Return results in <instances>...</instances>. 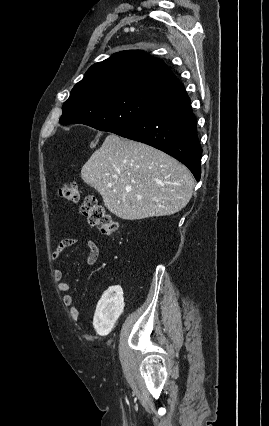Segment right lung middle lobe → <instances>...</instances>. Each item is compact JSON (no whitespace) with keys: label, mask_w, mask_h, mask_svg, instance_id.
Wrapping results in <instances>:
<instances>
[{"label":"right lung middle lobe","mask_w":269,"mask_h":426,"mask_svg":"<svg viewBox=\"0 0 269 426\" xmlns=\"http://www.w3.org/2000/svg\"><path fill=\"white\" fill-rule=\"evenodd\" d=\"M159 94L139 89L101 92L89 97L79 93L71 94L63 104L60 123H80L113 133L141 118Z\"/></svg>","instance_id":"right-lung-middle-lobe-1"}]
</instances>
